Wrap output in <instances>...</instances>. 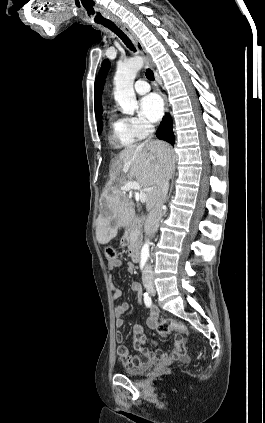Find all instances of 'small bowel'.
<instances>
[{
	"mask_svg": "<svg viewBox=\"0 0 265 423\" xmlns=\"http://www.w3.org/2000/svg\"><path fill=\"white\" fill-rule=\"evenodd\" d=\"M124 265V262L120 259H116L115 261L108 262V269L110 271L120 268ZM127 271L129 273H133L135 271V265L132 262H127ZM110 289L112 291V298L113 300H117L121 296V291L117 288L110 278ZM132 291L138 294V300L141 301L142 294H141V286L139 283L134 282L131 285ZM129 309V305L126 302L119 303L114 308V316H115V327L120 329L123 324L124 320L122 316L127 312ZM159 310L156 307H152L150 309V314L147 319L146 325L148 328L153 329L157 326L159 322ZM117 341L119 343L117 348V353L121 358L124 366L126 367H138L144 364L145 362H154L156 360H168V359H181L183 358L184 352V341L181 338H175L173 341V349L170 352H159L155 353L150 349L144 346L145 342V335H144V328L141 325L134 326V338L132 341V346L134 349L140 352L139 356H133L130 354L129 348L122 343L123 335L121 333L117 334Z\"/></svg>",
	"mask_w": 265,
	"mask_h": 423,
	"instance_id": "obj_1",
	"label": "small bowel"
}]
</instances>
